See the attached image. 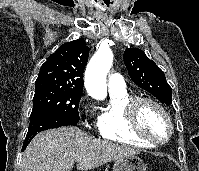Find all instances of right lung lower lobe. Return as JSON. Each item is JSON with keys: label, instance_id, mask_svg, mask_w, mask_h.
<instances>
[{"label": "right lung lower lobe", "instance_id": "right-lung-lower-lobe-1", "mask_svg": "<svg viewBox=\"0 0 199 171\" xmlns=\"http://www.w3.org/2000/svg\"><path fill=\"white\" fill-rule=\"evenodd\" d=\"M67 125L76 126L77 122L55 112H45L30 116L29 129L23 143L22 151L26 149L27 145L38 132Z\"/></svg>", "mask_w": 199, "mask_h": 171}]
</instances>
